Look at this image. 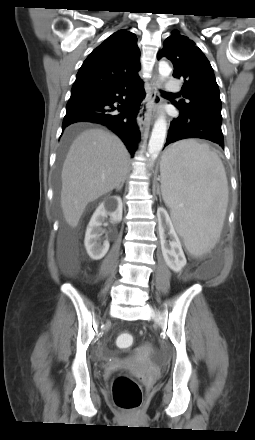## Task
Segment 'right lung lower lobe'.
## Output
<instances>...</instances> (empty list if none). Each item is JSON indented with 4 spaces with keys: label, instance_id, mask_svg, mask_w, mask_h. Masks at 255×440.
<instances>
[{
    "label": "right lung lower lobe",
    "instance_id": "obj_1",
    "mask_svg": "<svg viewBox=\"0 0 255 440\" xmlns=\"http://www.w3.org/2000/svg\"><path fill=\"white\" fill-rule=\"evenodd\" d=\"M144 96L138 75L106 88L71 94L62 129L77 122L106 125L122 139L133 156L140 138L136 117Z\"/></svg>",
    "mask_w": 255,
    "mask_h": 440
}]
</instances>
